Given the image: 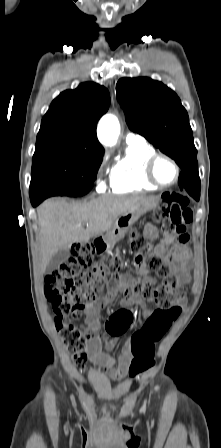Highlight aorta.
I'll return each instance as SVG.
<instances>
[{
	"mask_svg": "<svg viewBox=\"0 0 221 448\" xmlns=\"http://www.w3.org/2000/svg\"><path fill=\"white\" fill-rule=\"evenodd\" d=\"M119 134L120 123L118 118L113 114L104 115L97 128L99 141L105 146L112 147L117 143Z\"/></svg>",
	"mask_w": 221,
	"mask_h": 448,
	"instance_id": "762f6f07",
	"label": "aorta"
}]
</instances>
